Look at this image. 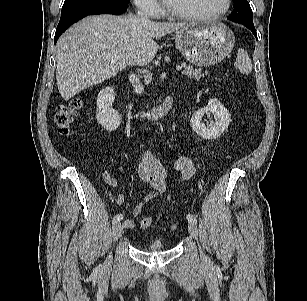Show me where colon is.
<instances>
[{
    "label": "colon",
    "mask_w": 307,
    "mask_h": 301,
    "mask_svg": "<svg viewBox=\"0 0 307 301\" xmlns=\"http://www.w3.org/2000/svg\"><path fill=\"white\" fill-rule=\"evenodd\" d=\"M83 101L79 98L73 99L67 103L59 104L53 114V120L60 132L67 133L70 124L77 111L82 107ZM153 218L150 216L143 217L140 222L141 228L151 226Z\"/></svg>",
    "instance_id": "1"
}]
</instances>
